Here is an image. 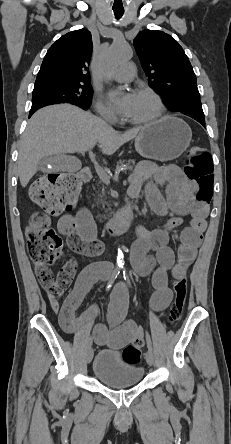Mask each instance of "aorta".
Returning <instances> with one entry per match:
<instances>
[{"instance_id":"aorta-1","label":"aorta","mask_w":231,"mask_h":444,"mask_svg":"<svg viewBox=\"0 0 231 444\" xmlns=\"http://www.w3.org/2000/svg\"><path fill=\"white\" fill-rule=\"evenodd\" d=\"M132 49L125 41H115L102 58L103 69H113L131 58ZM117 263H123V254L118 252Z\"/></svg>"}]
</instances>
